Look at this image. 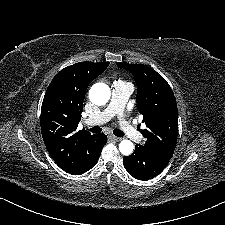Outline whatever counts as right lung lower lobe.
Masks as SVG:
<instances>
[{"label": "right lung lower lobe", "instance_id": "right-lung-lower-lobe-1", "mask_svg": "<svg viewBox=\"0 0 225 225\" xmlns=\"http://www.w3.org/2000/svg\"><path fill=\"white\" fill-rule=\"evenodd\" d=\"M98 139H99V149H98V152L95 154L94 158L91 160V162L89 163V165L87 166V168L85 169L84 172L90 170L92 167H94L97 163V160L98 158L100 157V154H101V150L103 148V146L106 144L107 142V136L103 133L101 134H98ZM82 172V173H84ZM81 173V174H82Z\"/></svg>", "mask_w": 225, "mask_h": 225}]
</instances>
